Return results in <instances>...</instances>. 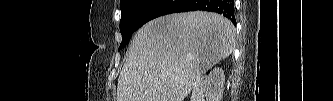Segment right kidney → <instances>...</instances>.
<instances>
[{
	"label": "right kidney",
	"instance_id": "obj_1",
	"mask_svg": "<svg viewBox=\"0 0 333 101\" xmlns=\"http://www.w3.org/2000/svg\"><path fill=\"white\" fill-rule=\"evenodd\" d=\"M225 75L221 68H214L207 76L200 77L192 91L191 101H221Z\"/></svg>",
	"mask_w": 333,
	"mask_h": 101
}]
</instances>
